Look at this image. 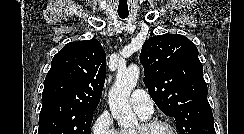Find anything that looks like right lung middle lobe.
Wrapping results in <instances>:
<instances>
[{
  "label": "right lung middle lobe",
  "instance_id": "1",
  "mask_svg": "<svg viewBox=\"0 0 244 134\" xmlns=\"http://www.w3.org/2000/svg\"><path fill=\"white\" fill-rule=\"evenodd\" d=\"M95 109L59 100L42 103L38 134H91Z\"/></svg>",
  "mask_w": 244,
  "mask_h": 134
}]
</instances>
